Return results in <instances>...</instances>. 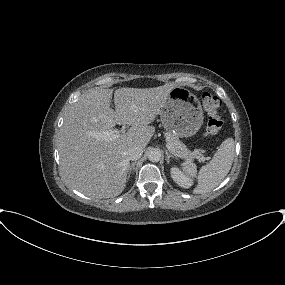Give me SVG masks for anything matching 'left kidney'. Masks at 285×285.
I'll use <instances>...</instances> for the list:
<instances>
[{
  "instance_id": "obj_1",
  "label": "left kidney",
  "mask_w": 285,
  "mask_h": 285,
  "mask_svg": "<svg viewBox=\"0 0 285 285\" xmlns=\"http://www.w3.org/2000/svg\"><path fill=\"white\" fill-rule=\"evenodd\" d=\"M170 173L174 182H176L179 186L188 189L193 185V180L181 172L179 168L172 167Z\"/></svg>"
}]
</instances>
